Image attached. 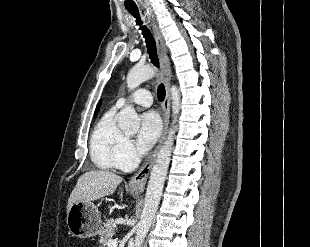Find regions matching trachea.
I'll return each instance as SVG.
<instances>
[{"label":"trachea","mask_w":310,"mask_h":247,"mask_svg":"<svg viewBox=\"0 0 310 247\" xmlns=\"http://www.w3.org/2000/svg\"><path fill=\"white\" fill-rule=\"evenodd\" d=\"M129 12L136 18V23L137 25L140 26V29L142 30V34L145 38L146 42V47L148 50L149 57L151 59V62L158 67L159 66V60L157 56V51H156V44L155 40L150 33L149 29H147L146 26L142 25L143 22L141 21L139 12L137 10H129ZM157 97L160 102H162L165 98V87L163 84H160L157 90Z\"/></svg>","instance_id":"obj_1"}]
</instances>
